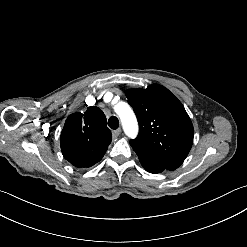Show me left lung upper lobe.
<instances>
[{
    "mask_svg": "<svg viewBox=\"0 0 247 247\" xmlns=\"http://www.w3.org/2000/svg\"><path fill=\"white\" fill-rule=\"evenodd\" d=\"M139 122V135L130 141L139 160L165 170L177 169L193 142V125L181 102L167 88L153 84L126 91Z\"/></svg>",
    "mask_w": 247,
    "mask_h": 247,
    "instance_id": "1",
    "label": "left lung upper lobe"
}]
</instances>
